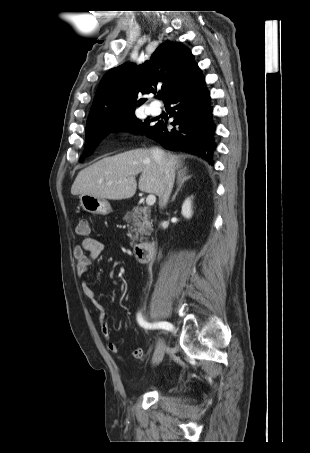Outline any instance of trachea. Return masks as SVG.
Masks as SVG:
<instances>
[{"mask_svg":"<svg viewBox=\"0 0 310 453\" xmlns=\"http://www.w3.org/2000/svg\"><path fill=\"white\" fill-rule=\"evenodd\" d=\"M157 98H158V99H161V95H160V94H159V95H157Z\"/></svg>","mask_w":310,"mask_h":453,"instance_id":"trachea-1","label":"trachea"}]
</instances>
